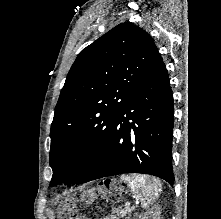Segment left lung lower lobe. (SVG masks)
Here are the masks:
<instances>
[{"instance_id":"obj_1","label":"left lung lower lobe","mask_w":221,"mask_h":219,"mask_svg":"<svg viewBox=\"0 0 221 219\" xmlns=\"http://www.w3.org/2000/svg\"><path fill=\"white\" fill-rule=\"evenodd\" d=\"M173 94L158 52L132 98L123 107L97 161L77 183L124 174H150L174 183Z\"/></svg>"}]
</instances>
